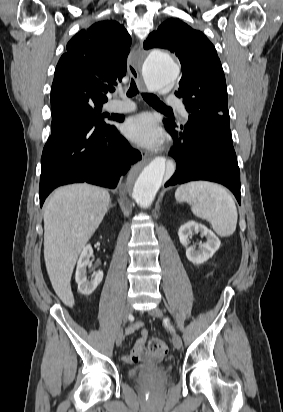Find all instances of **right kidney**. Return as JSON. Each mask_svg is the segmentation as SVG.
Listing matches in <instances>:
<instances>
[{
    "instance_id": "ca27d5eb",
    "label": "right kidney",
    "mask_w": 283,
    "mask_h": 412,
    "mask_svg": "<svg viewBox=\"0 0 283 412\" xmlns=\"http://www.w3.org/2000/svg\"><path fill=\"white\" fill-rule=\"evenodd\" d=\"M93 255V249L90 244L85 246L77 262L75 280L78 284V291L83 295H90L97 288L103 279V272L95 273L94 277L87 280L86 267L89 264L90 257Z\"/></svg>"
}]
</instances>
